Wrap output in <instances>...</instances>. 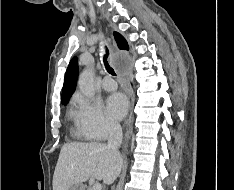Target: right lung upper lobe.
Here are the masks:
<instances>
[{
	"mask_svg": "<svg viewBox=\"0 0 234 190\" xmlns=\"http://www.w3.org/2000/svg\"><path fill=\"white\" fill-rule=\"evenodd\" d=\"M114 37L120 49L123 50L129 49L127 41L124 39V37L121 34H119L118 32H114ZM77 77H78V63H77V58L74 57L70 61L65 74V79L62 89V104L67 103L69 101L72 93L74 92Z\"/></svg>",
	"mask_w": 234,
	"mask_h": 190,
	"instance_id": "1",
	"label": "right lung upper lobe"
}]
</instances>
